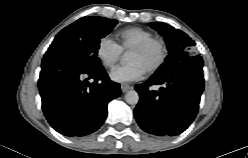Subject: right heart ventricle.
I'll return each instance as SVG.
<instances>
[{"label": "right heart ventricle", "instance_id": "obj_1", "mask_svg": "<svg viewBox=\"0 0 248 158\" xmlns=\"http://www.w3.org/2000/svg\"><path fill=\"white\" fill-rule=\"evenodd\" d=\"M153 37V34L142 27L123 28L114 33V38L123 52H128L136 44Z\"/></svg>", "mask_w": 248, "mask_h": 158}]
</instances>
